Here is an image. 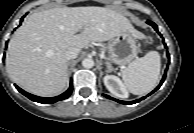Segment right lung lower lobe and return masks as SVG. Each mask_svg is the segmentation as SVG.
<instances>
[{
    "mask_svg": "<svg viewBox=\"0 0 194 133\" xmlns=\"http://www.w3.org/2000/svg\"><path fill=\"white\" fill-rule=\"evenodd\" d=\"M22 19H23V17H22ZM15 87L18 89L19 92H21L23 95H25L26 97H28L32 101L43 103V104H51V103H55V102L60 101V100H64V99L68 98L72 93V84H70V87L66 92H64L63 94H61L59 96L52 97V98L38 97V96H35V95H32L30 93L25 92L24 90L19 88L17 85H15Z\"/></svg>",
    "mask_w": 194,
    "mask_h": 133,
    "instance_id": "obj_1",
    "label": "right lung lower lobe"
}]
</instances>
